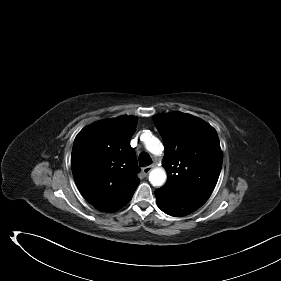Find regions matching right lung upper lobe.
<instances>
[{
	"label": "right lung upper lobe",
	"mask_w": 281,
	"mask_h": 281,
	"mask_svg": "<svg viewBox=\"0 0 281 281\" xmlns=\"http://www.w3.org/2000/svg\"><path fill=\"white\" fill-rule=\"evenodd\" d=\"M138 118L120 116L95 122L79 132L71 168L83 197L96 209L114 212L132 198L140 180L130 139Z\"/></svg>",
	"instance_id": "obj_1"
}]
</instances>
